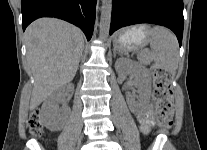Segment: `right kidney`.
I'll return each instance as SVG.
<instances>
[{"instance_id": "right-kidney-1", "label": "right kidney", "mask_w": 207, "mask_h": 150, "mask_svg": "<svg viewBox=\"0 0 207 150\" xmlns=\"http://www.w3.org/2000/svg\"><path fill=\"white\" fill-rule=\"evenodd\" d=\"M71 86H61L55 90L43 103L41 108V117L44 125L50 131H59L64 126L65 111L61 110L58 104L64 97L71 93Z\"/></svg>"}]
</instances>
